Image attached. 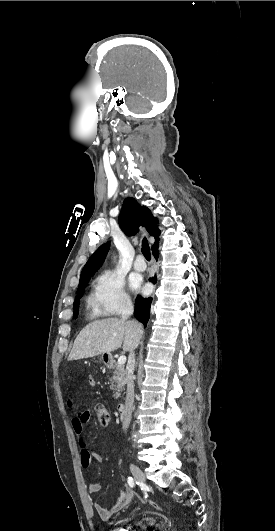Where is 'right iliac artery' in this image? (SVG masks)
<instances>
[{
	"label": "right iliac artery",
	"instance_id": "1",
	"mask_svg": "<svg viewBox=\"0 0 275 531\" xmlns=\"http://www.w3.org/2000/svg\"><path fill=\"white\" fill-rule=\"evenodd\" d=\"M128 484H129L130 487H132V488L134 487L135 481H134V479L132 477H128Z\"/></svg>",
	"mask_w": 275,
	"mask_h": 531
}]
</instances>
